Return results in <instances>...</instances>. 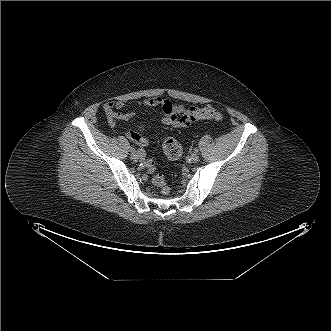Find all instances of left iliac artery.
<instances>
[{
    "label": "left iliac artery",
    "instance_id": "1",
    "mask_svg": "<svg viewBox=\"0 0 331 331\" xmlns=\"http://www.w3.org/2000/svg\"><path fill=\"white\" fill-rule=\"evenodd\" d=\"M198 151H199V150H198L197 148H195V149H194V152H196V153H197Z\"/></svg>",
    "mask_w": 331,
    "mask_h": 331
}]
</instances>
